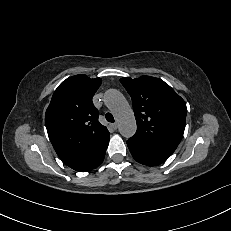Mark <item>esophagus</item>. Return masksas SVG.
<instances>
[{"label": "esophagus", "instance_id": "obj_1", "mask_svg": "<svg viewBox=\"0 0 231 231\" xmlns=\"http://www.w3.org/2000/svg\"><path fill=\"white\" fill-rule=\"evenodd\" d=\"M111 127H112L114 130H116V129L118 128V124H117V123H113V124H111Z\"/></svg>", "mask_w": 231, "mask_h": 231}]
</instances>
